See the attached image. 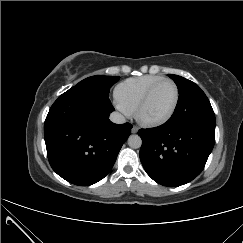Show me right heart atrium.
Instances as JSON below:
<instances>
[{"instance_id":"right-heart-atrium-1","label":"right heart atrium","mask_w":243,"mask_h":243,"mask_svg":"<svg viewBox=\"0 0 243 243\" xmlns=\"http://www.w3.org/2000/svg\"><path fill=\"white\" fill-rule=\"evenodd\" d=\"M117 108L122 112V113H124L125 115H128L129 114V112L128 111H126L120 104H118L117 103Z\"/></svg>"}]
</instances>
